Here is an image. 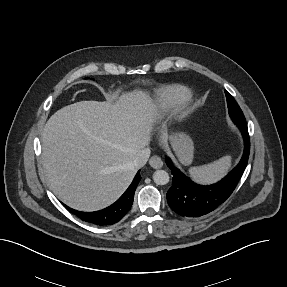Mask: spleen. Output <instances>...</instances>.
<instances>
[{
	"instance_id": "3e777b00",
	"label": "spleen",
	"mask_w": 287,
	"mask_h": 287,
	"mask_svg": "<svg viewBox=\"0 0 287 287\" xmlns=\"http://www.w3.org/2000/svg\"><path fill=\"white\" fill-rule=\"evenodd\" d=\"M231 167V156H224L212 163L189 169L191 178L202 184H211L223 178Z\"/></svg>"
}]
</instances>
